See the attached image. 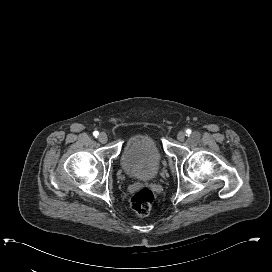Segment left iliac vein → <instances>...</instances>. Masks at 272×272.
I'll return each instance as SVG.
<instances>
[{
  "mask_svg": "<svg viewBox=\"0 0 272 272\" xmlns=\"http://www.w3.org/2000/svg\"><path fill=\"white\" fill-rule=\"evenodd\" d=\"M186 138V133L183 132V131H180L178 134H177V139L181 142H183Z\"/></svg>",
  "mask_w": 272,
  "mask_h": 272,
  "instance_id": "left-iliac-vein-1",
  "label": "left iliac vein"
}]
</instances>
